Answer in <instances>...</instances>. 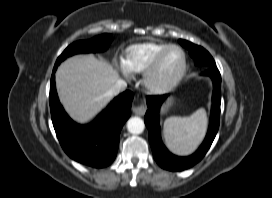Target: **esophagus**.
<instances>
[{
  "instance_id": "1",
  "label": "esophagus",
  "mask_w": 272,
  "mask_h": 198,
  "mask_svg": "<svg viewBox=\"0 0 272 198\" xmlns=\"http://www.w3.org/2000/svg\"><path fill=\"white\" fill-rule=\"evenodd\" d=\"M146 107L144 105H138L133 108V113L137 116H144L146 113Z\"/></svg>"
}]
</instances>
